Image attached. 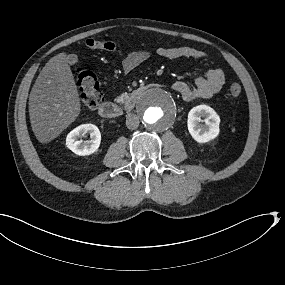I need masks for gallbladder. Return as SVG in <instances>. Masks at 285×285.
Returning a JSON list of instances; mask_svg holds the SVG:
<instances>
[{"instance_id":"obj_1","label":"gallbladder","mask_w":285,"mask_h":285,"mask_svg":"<svg viewBox=\"0 0 285 285\" xmlns=\"http://www.w3.org/2000/svg\"><path fill=\"white\" fill-rule=\"evenodd\" d=\"M68 62H69L71 65L77 63V62H78V57H77V55H75V54H70V55L68 56Z\"/></svg>"}]
</instances>
